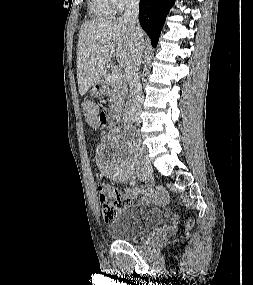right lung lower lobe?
I'll return each instance as SVG.
<instances>
[{
	"label": "right lung lower lobe",
	"mask_w": 253,
	"mask_h": 285,
	"mask_svg": "<svg viewBox=\"0 0 253 285\" xmlns=\"http://www.w3.org/2000/svg\"><path fill=\"white\" fill-rule=\"evenodd\" d=\"M174 0H141L139 6V21L142 28L156 47L165 18L173 6Z\"/></svg>",
	"instance_id": "1"
}]
</instances>
